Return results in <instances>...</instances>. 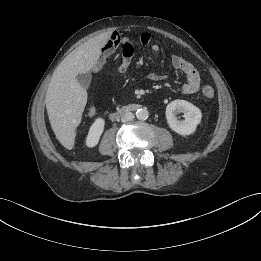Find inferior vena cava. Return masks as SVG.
Returning a JSON list of instances; mask_svg holds the SVG:
<instances>
[{
	"label": "inferior vena cava",
	"mask_w": 261,
	"mask_h": 261,
	"mask_svg": "<svg viewBox=\"0 0 261 261\" xmlns=\"http://www.w3.org/2000/svg\"><path fill=\"white\" fill-rule=\"evenodd\" d=\"M134 119V114L132 112H125L121 115V121L123 123L131 121Z\"/></svg>",
	"instance_id": "602c4592"
}]
</instances>
